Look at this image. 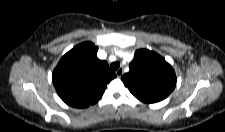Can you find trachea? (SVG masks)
<instances>
[{"mask_svg": "<svg viewBox=\"0 0 225 132\" xmlns=\"http://www.w3.org/2000/svg\"><path fill=\"white\" fill-rule=\"evenodd\" d=\"M120 67V63L119 62H113L110 65L111 70L115 71Z\"/></svg>", "mask_w": 225, "mask_h": 132, "instance_id": "trachea-1", "label": "trachea"}]
</instances>
